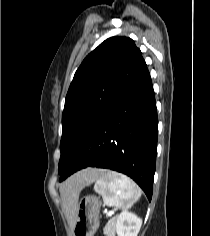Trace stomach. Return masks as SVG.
Masks as SVG:
<instances>
[{
    "label": "stomach",
    "mask_w": 210,
    "mask_h": 236,
    "mask_svg": "<svg viewBox=\"0 0 210 236\" xmlns=\"http://www.w3.org/2000/svg\"><path fill=\"white\" fill-rule=\"evenodd\" d=\"M101 201L95 196L83 197L78 205L73 236H93L99 227Z\"/></svg>",
    "instance_id": "obj_1"
}]
</instances>
